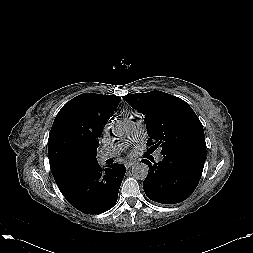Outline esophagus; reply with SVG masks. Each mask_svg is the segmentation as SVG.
Masks as SVG:
<instances>
[{"label": "esophagus", "mask_w": 253, "mask_h": 253, "mask_svg": "<svg viewBox=\"0 0 253 253\" xmlns=\"http://www.w3.org/2000/svg\"><path fill=\"white\" fill-rule=\"evenodd\" d=\"M134 165V161H126L125 162V167L127 169L131 168Z\"/></svg>", "instance_id": "1"}]
</instances>
